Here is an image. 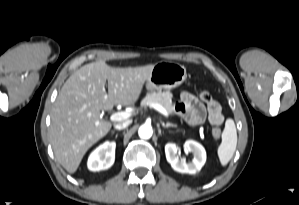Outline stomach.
Returning a JSON list of instances; mask_svg holds the SVG:
<instances>
[{"label":"stomach","mask_w":299,"mask_h":205,"mask_svg":"<svg viewBox=\"0 0 299 205\" xmlns=\"http://www.w3.org/2000/svg\"><path fill=\"white\" fill-rule=\"evenodd\" d=\"M187 77L186 68L178 63L158 62L154 65L146 87L148 90L174 89Z\"/></svg>","instance_id":"obj_1"}]
</instances>
